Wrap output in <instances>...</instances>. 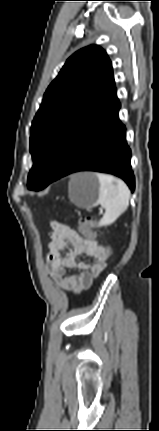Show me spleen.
Wrapping results in <instances>:
<instances>
[{
    "label": "spleen",
    "mask_w": 159,
    "mask_h": 431,
    "mask_svg": "<svg viewBox=\"0 0 159 431\" xmlns=\"http://www.w3.org/2000/svg\"><path fill=\"white\" fill-rule=\"evenodd\" d=\"M96 176L100 183L99 204L105 209L98 225L109 226L127 209L130 191L122 180L114 176L102 173H96Z\"/></svg>",
    "instance_id": "obj_1"
}]
</instances>
